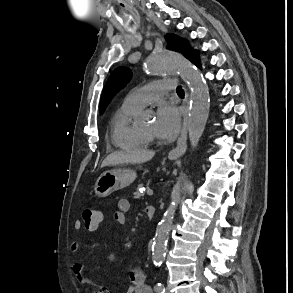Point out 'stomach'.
<instances>
[{"label": "stomach", "instance_id": "1", "mask_svg": "<svg viewBox=\"0 0 293 293\" xmlns=\"http://www.w3.org/2000/svg\"><path fill=\"white\" fill-rule=\"evenodd\" d=\"M136 179L131 169H115L102 173L95 182L94 192L98 197H107L113 192L128 187Z\"/></svg>", "mask_w": 293, "mask_h": 293}]
</instances>
